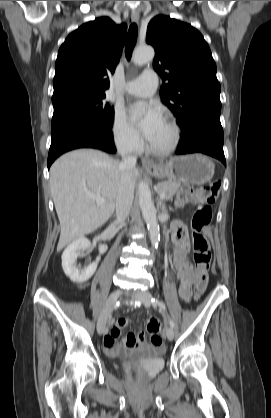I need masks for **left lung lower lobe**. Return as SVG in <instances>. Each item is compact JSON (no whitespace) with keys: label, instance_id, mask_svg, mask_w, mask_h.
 <instances>
[{"label":"left lung lower lobe","instance_id":"left-lung-lower-lobe-1","mask_svg":"<svg viewBox=\"0 0 271 418\" xmlns=\"http://www.w3.org/2000/svg\"><path fill=\"white\" fill-rule=\"evenodd\" d=\"M181 129L182 137L176 154L199 152L217 158L226 165L220 117L201 116L184 123Z\"/></svg>","mask_w":271,"mask_h":418}]
</instances>
